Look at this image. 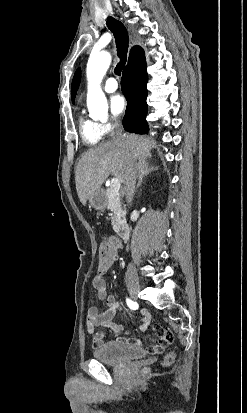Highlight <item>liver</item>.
Listing matches in <instances>:
<instances>
[{
	"label": "liver",
	"mask_w": 247,
	"mask_h": 413,
	"mask_svg": "<svg viewBox=\"0 0 247 413\" xmlns=\"http://www.w3.org/2000/svg\"><path fill=\"white\" fill-rule=\"evenodd\" d=\"M126 146H134L138 160H145L150 158L155 142L140 134H129L127 142L107 140L81 154L75 170V182L82 204H86L92 192L101 188L109 174H114L119 182H123L128 154Z\"/></svg>",
	"instance_id": "obj_1"
}]
</instances>
